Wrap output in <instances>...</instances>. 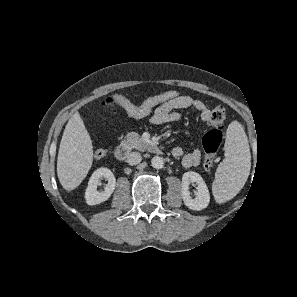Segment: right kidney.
Masks as SVG:
<instances>
[{
	"instance_id": "1",
	"label": "right kidney",
	"mask_w": 297,
	"mask_h": 297,
	"mask_svg": "<svg viewBox=\"0 0 297 297\" xmlns=\"http://www.w3.org/2000/svg\"><path fill=\"white\" fill-rule=\"evenodd\" d=\"M104 177L108 180L104 191L99 192L97 187L100 179ZM116 187V179L112 171L108 168L97 169L89 179L88 186L85 191V199L88 205H96L106 201L113 193Z\"/></svg>"
}]
</instances>
